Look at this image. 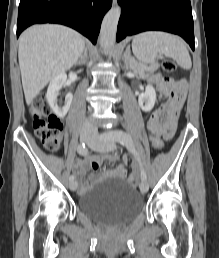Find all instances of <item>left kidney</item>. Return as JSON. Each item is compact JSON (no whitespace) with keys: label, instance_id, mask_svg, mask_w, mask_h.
<instances>
[{"label":"left kidney","instance_id":"5707ae66","mask_svg":"<svg viewBox=\"0 0 219 258\" xmlns=\"http://www.w3.org/2000/svg\"><path fill=\"white\" fill-rule=\"evenodd\" d=\"M156 101V91L152 85H147L145 92L138 98L139 106L144 112H150Z\"/></svg>","mask_w":219,"mask_h":258}]
</instances>
